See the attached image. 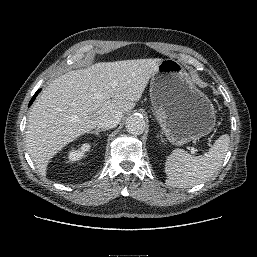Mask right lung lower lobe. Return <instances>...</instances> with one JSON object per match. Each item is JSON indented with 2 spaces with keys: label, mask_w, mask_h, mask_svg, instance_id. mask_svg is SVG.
Returning <instances> with one entry per match:
<instances>
[{
  "label": "right lung lower lobe",
  "mask_w": 257,
  "mask_h": 257,
  "mask_svg": "<svg viewBox=\"0 0 257 257\" xmlns=\"http://www.w3.org/2000/svg\"><path fill=\"white\" fill-rule=\"evenodd\" d=\"M40 92V90H38L35 94H34V96L32 97V99H31V101H30V103H29V106L32 104V102L35 100V97L37 96V94Z\"/></svg>",
  "instance_id": "98d812e1"
}]
</instances>
